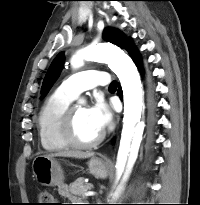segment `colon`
Returning a JSON list of instances; mask_svg holds the SVG:
<instances>
[{"label":"colon","instance_id":"5ec220e1","mask_svg":"<svg viewBox=\"0 0 200 205\" xmlns=\"http://www.w3.org/2000/svg\"><path fill=\"white\" fill-rule=\"evenodd\" d=\"M38 205H55V199L49 190L43 189L38 192Z\"/></svg>","mask_w":200,"mask_h":205}]
</instances>
